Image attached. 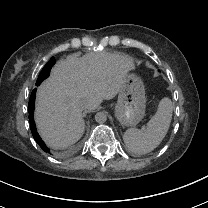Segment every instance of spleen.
<instances>
[{
  "mask_svg": "<svg viewBox=\"0 0 208 208\" xmlns=\"http://www.w3.org/2000/svg\"><path fill=\"white\" fill-rule=\"evenodd\" d=\"M173 106L168 98H163L156 114L149 120L145 130L128 129L123 140L127 148L136 154H146L155 149L165 137L172 118Z\"/></svg>",
  "mask_w": 208,
  "mask_h": 208,
  "instance_id": "1",
  "label": "spleen"
}]
</instances>
